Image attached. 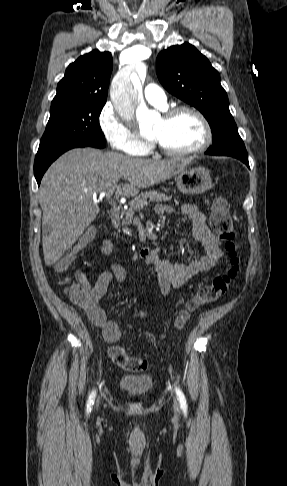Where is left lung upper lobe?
Masks as SVG:
<instances>
[{"label": "left lung upper lobe", "mask_w": 287, "mask_h": 486, "mask_svg": "<svg viewBox=\"0 0 287 486\" xmlns=\"http://www.w3.org/2000/svg\"><path fill=\"white\" fill-rule=\"evenodd\" d=\"M156 72L168 92L197 108L209 122L213 145L206 154L248 157L220 75L203 54L189 43L171 46L158 54Z\"/></svg>", "instance_id": "1"}]
</instances>
